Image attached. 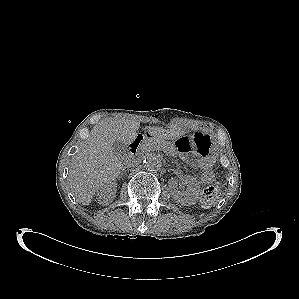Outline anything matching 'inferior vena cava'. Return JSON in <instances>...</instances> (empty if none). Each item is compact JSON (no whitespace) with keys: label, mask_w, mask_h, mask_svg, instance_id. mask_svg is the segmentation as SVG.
Wrapping results in <instances>:
<instances>
[{"label":"inferior vena cava","mask_w":299,"mask_h":299,"mask_svg":"<svg viewBox=\"0 0 299 299\" xmlns=\"http://www.w3.org/2000/svg\"><path fill=\"white\" fill-rule=\"evenodd\" d=\"M125 164L127 167H135L138 164V162L136 160H129Z\"/></svg>","instance_id":"1"}]
</instances>
